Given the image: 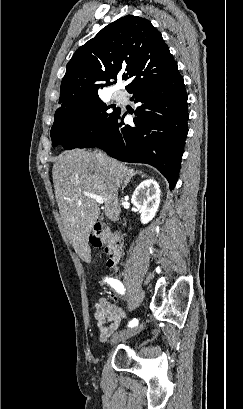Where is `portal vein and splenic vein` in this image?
<instances>
[{"instance_id":"portal-vein-and-splenic-vein-1","label":"portal vein and splenic vein","mask_w":243,"mask_h":409,"mask_svg":"<svg viewBox=\"0 0 243 409\" xmlns=\"http://www.w3.org/2000/svg\"><path fill=\"white\" fill-rule=\"evenodd\" d=\"M83 194H84V196H86V197H89V198H91V199H94V200H95L97 203H99V204H103V203H104V199H103L101 196H99V195H96V194H93V193H90V192H87V191H84Z\"/></svg>"}]
</instances>
